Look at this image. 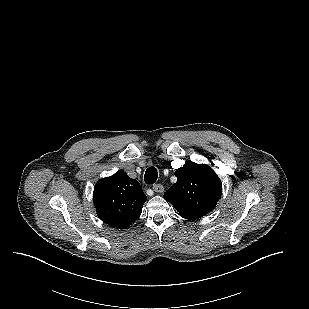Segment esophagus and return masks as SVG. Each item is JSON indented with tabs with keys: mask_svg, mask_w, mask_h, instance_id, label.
<instances>
[{
	"mask_svg": "<svg viewBox=\"0 0 309 309\" xmlns=\"http://www.w3.org/2000/svg\"><path fill=\"white\" fill-rule=\"evenodd\" d=\"M152 189L155 191V192H159V193H162L164 191V186L162 184H155L153 185Z\"/></svg>",
	"mask_w": 309,
	"mask_h": 309,
	"instance_id": "esophagus-1",
	"label": "esophagus"
}]
</instances>
